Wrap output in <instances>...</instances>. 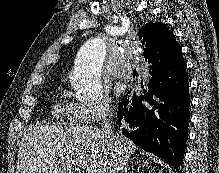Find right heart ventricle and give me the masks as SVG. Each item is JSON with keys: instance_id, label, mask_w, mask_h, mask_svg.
<instances>
[{"instance_id": "obj_1", "label": "right heart ventricle", "mask_w": 219, "mask_h": 173, "mask_svg": "<svg viewBox=\"0 0 219 173\" xmlns=\"http://www.w3.org/2000/svg\"><path fill=\"white\" fill-rule=\"evenodd\" d=\"M52 114L55 118L65 123L76 121L75 105L68 102L63 95H60L55 101L52 107Z\"/></svg>"}]
</instances>
